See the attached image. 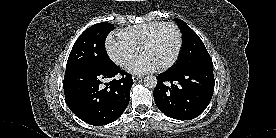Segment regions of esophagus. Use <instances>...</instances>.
<instances>
[{"instance_id":"1","label":"esophagus","mask_w":276,"mask_h":138,"mask_svg":"<svg viewBox=\"0 0 276 138\" xmlns=\"http://www.w3.org/2000/svg\"><path fill=\"white\" fill-rule=\"evenodd\" d=\"M132 79H133L134 82H137L139 79H141V76L133 75Z\"/></svg>"}]
</instances>
